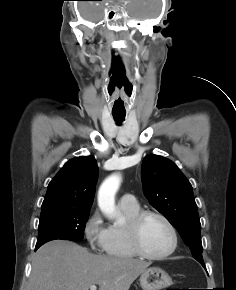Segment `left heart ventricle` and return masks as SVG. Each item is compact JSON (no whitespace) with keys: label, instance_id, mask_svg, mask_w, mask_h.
<instances>
[{"label":"left heart ventricle","instance_id":"left-heart-ventricle-1","mask_svg":"<svg viewBox=\"0 0 236 290\" xmlns=\"http://www.w3.org/2000/svg\"><path fill=\"white\" fill-rule=\"evenodd\" d=\"M141 241L148 253L161 254L170 248L172 237L167 226L159 218L151 216L143 222Z\"/></svg>","mask_w":236,"mask_h":290}]
</instances>
